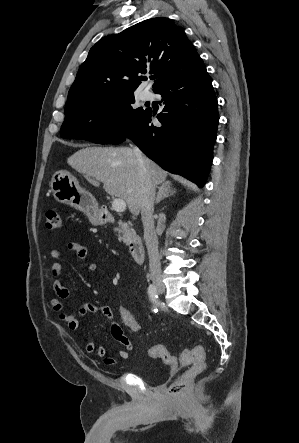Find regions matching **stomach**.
<instances>
[{
	"label": "stomach",
	"instance_id": "0dacf381",
	"mask_svg": "<svg viewBox=\"0 0 299 443\" xmlns=\"http://www.w3.org/2000/svg\"><path fill=\"white\" fill-rule=\"evenodd\" d=\"M50 185L53 196L58 202L84 212L94 225L104 223L95 198L89 192L82 189L77 179L68 171L60 170L55 172Z\"/></svg>",
	"mask_w": 299,
	"mask_h": 443
}]
</instances>
